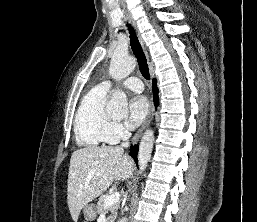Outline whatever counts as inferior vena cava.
Listing matches in <instances>:
<instances>
[{
    "label": "inferior vena cava",
    "instance_id": "inferior-vena-cava-1",
    "mask_svg": "<svg viewBox=\"0 0 257 222\" xmlns=\"http://www.w3.org/2000/svg\"><path fill=\"white\" fill-rule=\"evenodd\" d=\"M131 136V133L127 130L124 131L123 135H122V140L123 143L121 144L122 147H128L129 146V138Z\"/></svg>",
    "mask_w": 257,
    "mask_h": 222
}]
</instances>
